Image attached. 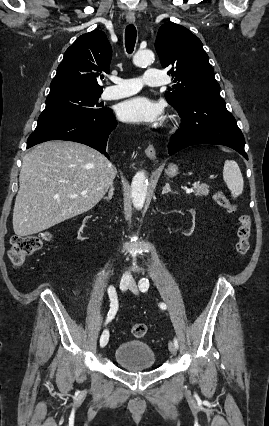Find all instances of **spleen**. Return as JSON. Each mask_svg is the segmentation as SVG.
<instances>
[{
  "label": "spleen",
  "instance_id": "1",
  "mask_svg": "<svg viewBox=\"0 0 269 426\" xmlns=\"http://www.w3.org/2000/svg\"><path fill=\"white\" fill-rule=\"evenodd\" d=\"M223 179L233 198L243 192L244 181L241 170L234 160H226L223 168Z\"/></svg>",
  "mask_w": 269,
  "mask_h": 426
}]
</instances>
